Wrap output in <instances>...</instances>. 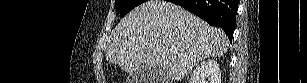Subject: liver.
<instances>
[{"instance_id": "6515ba94", "label": "liver", "mask_w": 307, "mask_h": 83, "mask_svg": "<svg viewBox=\"0 0 307 83\" xmlns=\"http://www.w3.org/2000/svg\"><path fill=\"white\" fill-rule=\"evenodd\" d=\"M228 47L220 28L170 2L149 0L114 28L105 56L129 73L159 67L167 73L164 83H172L181 81L204 58L224 56Z\"/></svg>"}]
</instances>
